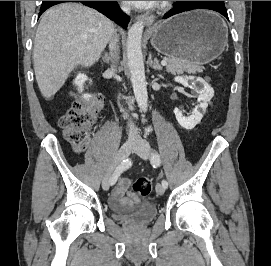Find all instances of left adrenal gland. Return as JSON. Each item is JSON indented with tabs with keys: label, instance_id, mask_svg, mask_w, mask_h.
<instances>
[{
	"label": "left adrenal gland",
	"instance_id": "1",
	"mask_svg": "<svg viewBox=\"0 0 271 266\" xmlns=\"http://www.w3.org/2000/svg\"><path fill=\"white\" fill-rule=\"evenodd\" d=\"M148 61H149L150 66H151L155 71H161V70H162V66L159 64L157 58H155L154 60H152L151 54L149 55Z\"/></svg>",
	"mask_w": 271,
	"mask_h": 266
}]
</instances>
